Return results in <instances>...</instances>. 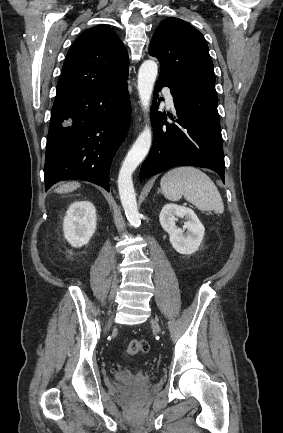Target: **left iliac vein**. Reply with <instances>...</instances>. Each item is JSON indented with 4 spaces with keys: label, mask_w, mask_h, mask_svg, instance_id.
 I'll return each instance as SVG.
<instances>
[{
    "label": "left iliac vein",
    "mask_w": 283,
    "mask_h": 433,
    "mask_svg": "<svg viewBox=\"0 0 283 433\" xmlns=\"http://www.w3.org/2000/svg\"><path fill=\"white\" fill-rule=\"evenodd\" d=\"M151 325H152L153 329H154L156 332L161 333V328H160V326H159L157 320L152 319V320H151Z\"/></svg>",
    "instance_id": "left-iliac-vein-1"
}]
</instances>
